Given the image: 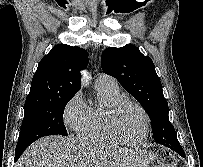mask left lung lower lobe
Returning a JSON list of instances; mask_svg holds the SVG:
<instances>
[{
	"instance_id": "0a47b994",
	"label": "left lung lower lobe",
	"mask_w": 203,
	"mask_h": 167,
	"mask_svg": "<svg viewBox=\"0 0 203 167\" xmlns=\"http://www.w3.org/2000/svg\"><path fill=\"white\" fill-rule=\"evenodd\" d=\"M164 145L165 147H168L174 151H176L178 154H180L181 156L184 157V153H183V149L179 144V141L177 139V137H167V138H163L162 140H160V143Z\"/></svg>"
}]
</instances>
